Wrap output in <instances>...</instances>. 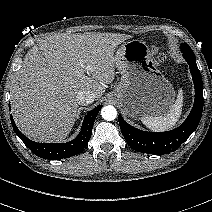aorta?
Instances as JSON below:
<instances>
[{"instance_id": "1", "label": "aorta", "mask_w": 212, "mask_h": 212, "mask_svg": "<svg viewBox=\"0 0 212 212\" xmlns=\"http://www.w3.org/2000/svg\"><path fill=\"white\" fill-rule=\"evenodd\" d=\"M101 116L104 120L112 121V120L116 119V117H117V110L112 105L104 106L101 109Z\"/></svg>"}]
</instances>
